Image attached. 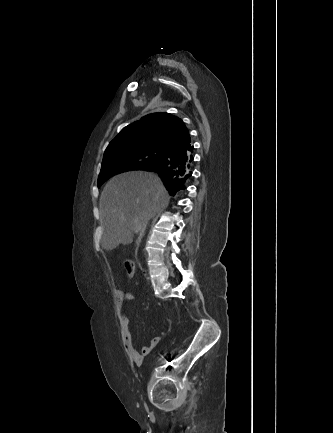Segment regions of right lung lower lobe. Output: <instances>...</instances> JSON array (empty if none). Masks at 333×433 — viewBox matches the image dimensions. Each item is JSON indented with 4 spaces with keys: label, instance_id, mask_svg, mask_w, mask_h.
Segmentation results:
<instances>
[{
    "label": "right lung lower lobe",
    "instance_id": "obj_1",
    "mask_svg": "<svg viewBox=\"0 0 333 433\" xmlns=\"http://www.w3.org/2000/svg\"><path fill=\"white\" fill-rule=\"evenodd\" d=\"M193 146L177 148L163 158V160L150 167L161 177L170 195L186 188V183L192 175Z\"/></svg>",
    "mask_w": 333,
    "mask_h": 433
}]
</instances>
